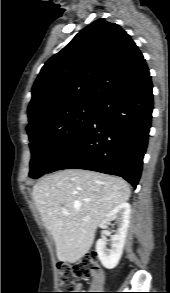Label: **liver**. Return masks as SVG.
Returning <instances> with one entry per match:
<instances>
[{
	"instance_id": "liver-1",
	"label": "liver",
	"mask_w": 170,
	"mask_h": 293,
	"mask_svg": "<svg viewBox=\"0 0 170 293\" xmlns=\"http://www.w3.org/2000/svg\"><path fill=\"white\" fill-rule=\"evenodd\" d=\"M131 191L122 178L81 169L45 176L33 187V200L53 236L59 260L75 263L91 248L99 222ZM66 210L69 215H63Z\"/></svg>"
}]
</instances>
